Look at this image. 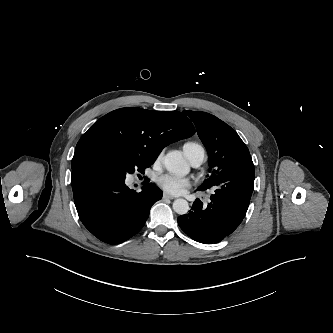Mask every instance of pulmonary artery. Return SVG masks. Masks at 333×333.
I'll return each instance as SVG.
<instances>
[{
    "label": "pulmonary artery",
    "mask_w": 333,
    "mask_h": 333,
    "mask_svg": "<svg viewBox=\"0 0 333 333\" xmlns=\"http://www.w3.org/2000/svg\"><path fill=\"white\" fill-rule=\"evenodd\" d=\"M205 160V151L198 152L191 160L190 163L194 167L200 166Z\"/></svg>",
    "instance_id": "e3ab8cb5"
}]
</instances>
